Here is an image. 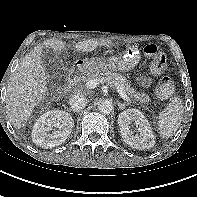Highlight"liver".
Listing matches in <instances>:
<instances>
[{
  "mask_svg": "<svg viewBox=\"0 0 197 197\" xmlns=\"http://www.w3.org/2000/svg\"><path fill=\"white\" fill-rule=\"evenodd\" d=\"M98 46L110 48V39H89L72 46L75 52H91ZM69 47L58 39L46 40L42 45L34 47L20 62L13 73L7 87L6 112L14 128L23 127L31 116L35 106L44 98L47 92V77L42 65L43 48H51L56 54Z\"/></svg>",
  "mask_w": 197,
  "mask_h": 197,
  "instance_id": "obj_1",
  "label": "liver"
}]
</instances>
